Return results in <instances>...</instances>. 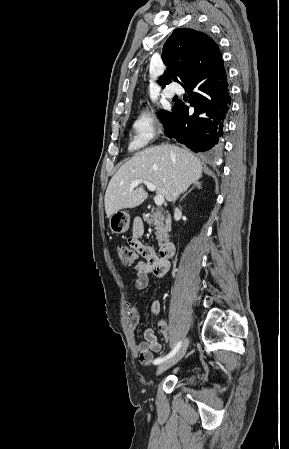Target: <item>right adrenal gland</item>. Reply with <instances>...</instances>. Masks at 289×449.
I'll use <instances>...</instances> for the list:
<instances>
[{
	"label": "right adrenal gland",
	"mask_w": 289,
	"mask_h": 449,
	"mask_svg": "<svg viewBox=\"0 0 289 449\" xmlns=\"http://www.w3.org/2000/svg\"><path fill=\"white\" fill-rule=\"evenodd\" d=\"M201 184H202V182H199V181L194 182L193 186L181 197L180 201H182L186 197V195L192 191V189L194 187L201 189L202 188Z\"/></svg>",
	"instance_id": "right-adrenal-gland-1"
}]
</instances>
